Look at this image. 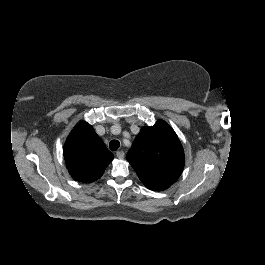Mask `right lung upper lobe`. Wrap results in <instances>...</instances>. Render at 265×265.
I'll return each mask as SVG.
<instances>
[{
    "mask_svg": "<svg viewBox=\"0 0 265 265\" xmlns=\"http://www.w3.org/2000/svg\"><path fill=\"white\" fill-rule=\"evenodd\" d=\"M63 154L70 175L83 183L99 179L114 158L93 127L83 121L69 134Z\"/></svg>",
    "mask_w": 265,
    "mask_h": 265,
    "instance_id": "cb5924a9",
    "label": "right lung upper lobe"
}]
</instances>
